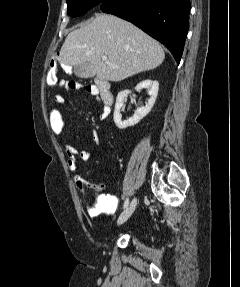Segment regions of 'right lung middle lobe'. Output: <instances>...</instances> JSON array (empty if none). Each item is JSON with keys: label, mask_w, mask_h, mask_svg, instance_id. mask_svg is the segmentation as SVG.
Returning a JSON list of instances; mask_svg holds the SVG:
<instances>
[{"label": "right lung middle lobe", "mask_w": 240, "mask_h": 287, "mask_svg": "<svg viewBox=\"0 0 240 287\" xmlns=\"http://www.w3.org/2000/svg\"><path fill=\"white\" fill-rule=\"evenodd\" d=\"M68 15L77 17L83 15L96 5H101L106 0H66Z\"/></svg>", "instance_id": "dd1d6c3e"}]
</instances>
